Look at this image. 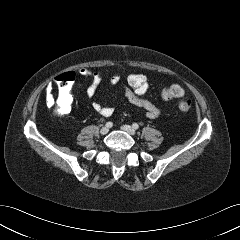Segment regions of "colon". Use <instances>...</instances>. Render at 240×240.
Segmentation results:
<instances>
[{
    "label": "colon",
    "mask_w": 240,
    "mask_h": 240,
    "mask_svg": "<svg viewBox=\"0 0 240 240\" xmlns=\"http://www.w3.org/2000/svg\"><path fill=\"white\" fill-rule=\"evenodd\" d=\"M74 80V74L67 72L61 74L57 79V94L52 104L56 107V112L60 115L66 114L71 109L72 99L70 89ZM126 85L138 96H145L150 90L148 77L139 71H131L126 75ZM161 98L165 101L176 99L181 111H188L192 107V100L184 95L180 84L170 83L161 89Z\"/></svg>",
    "instance_id": "1"
}]
</instances>
